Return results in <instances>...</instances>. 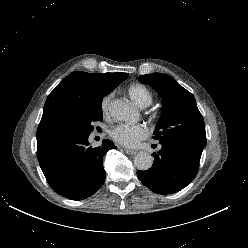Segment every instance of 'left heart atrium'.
<instances>
[{
  "instance_id": "1",
  "label": "left heart atrium",
  "mask_w": 248,
  "mask_h": 248,
  "mask_svg": "<svg viewBox=\"0 0 248 248\" xmlns=\"http://www.w3.org/2000/svg\"><path fill=\"white\" fill-rule=\"evenodd\" d=\"M148 134V128L142 124H120L111 130L112 138L126 147L137 146Z\"/></svg>"
}]
</instances>
